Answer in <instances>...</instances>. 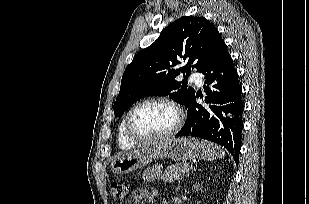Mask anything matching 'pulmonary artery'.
I'll use <instances>...</instances> for the list:
<instances>
[{"label": "pulmonary artery", "mask_w": 309, "mask_h": 204, "mask_svg": "<svg viewBox=\"0 0 309 204\" xmlns=\"http://www.w3.org/2000/svg\"><path fill=\"white\" fill-rule=\"evenodd\" d=\"M190 80L198 86L202 85V75L199 72L192 73Z\"/></svg>", "instance_id": "obj_1"}]
</instances>
